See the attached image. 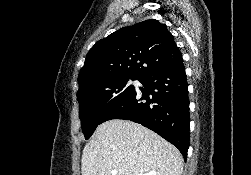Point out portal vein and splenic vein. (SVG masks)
Instances as JSON below:
<instances>
[{
  "label": "portal vein and splenic vein",
  "instance_id": "1",
  "mask_svg": "<svg viewBox=\"0 0 251 175\" xmlns=\"http://www.w3.org/2000/svg\"><path fill=\"white\" fill-rule=\"evenodd\" d=\"M111 173L112 175H116V169H112ZM127 175H149V173H127Z\"/></svg>",
  "mask_w": 251,
  "mask_h": 175
}]
</instances>
